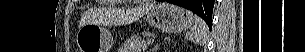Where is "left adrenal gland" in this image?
<instances>
[{
    "instance_id": "obj_1",
    "label": "left adrenal gland",
    "mask_w": 305,
    "mask_h": 52,
    "mask_svg": "<svg viewBox=\"0 0 305 52\" xmlns=\"http://www.w3.org/2000/svg\"><path fill=\"white\" fill-rule=\"evenodd\" d=\"M158 49H159V45H155V46L151 49V52H157Z\"/></svg>"
}]
</instances>
